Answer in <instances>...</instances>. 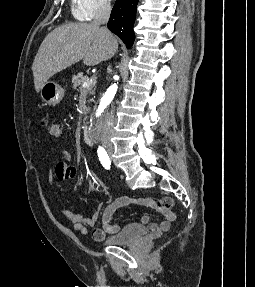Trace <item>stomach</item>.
<instances>
[{"mask_svg": "<svg viewBox=\"0 0 255 287\" xmlns=\"http://www.w3.org/2000/svg\"><path fill=\"white\" fill-rule=\"evenodd\" d=\"M41 98L48 106H57L64 98V90L57 82H45L40 90Z\"/></svg>", "mask_w": 255, "mask_h": 287, "instance_id": "stomach-1", "label": "stomach"}]
</instances>
